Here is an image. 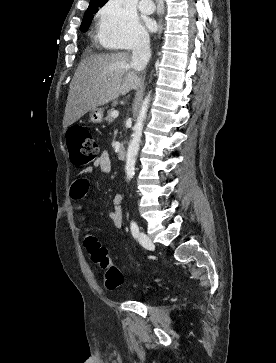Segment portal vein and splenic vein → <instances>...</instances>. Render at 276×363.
Here are the masks:
<instances>
[{"label": "portal vein and splenic vein", "instance_id": "18ae733b", "mask_svg": "<svg viewBox=\"0 0 276 363\" xmlns=\"http://www.w3.org/2000/svg\"><path fill=\"white\" fill-rule=\"evenodd\" d=\"M111 115L113 118H117L119 113H118V111H112Z\"/></svg>", "mask_w": 276, "mask_h": 363}]
</instances>
